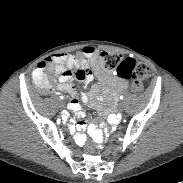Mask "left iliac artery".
<instances>
[{
    "label": "left iliac artery",
    "mask_w": 183,
    "mask_h": 183,
    "mask_svg": "<svg viewBox=\"0 0 183 183\" xmlns=\"http://www.w3.org/2000/svg\"><path fill=\"white\" fill-rule=\"evenodd\" d=\"M123 98H124L123 95H121V96H120V99H123Z\"/></svg>",
    "instance_id": "obj_1"
}]
</instances>
